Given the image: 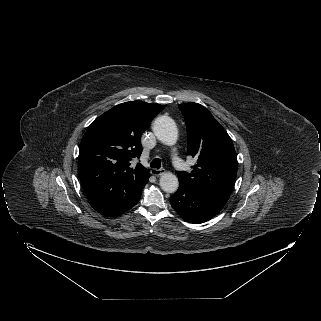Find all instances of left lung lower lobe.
Masks as SVG:
<instances>
[{
    "label": "left lung lower lobe",
    "mask_w": 321,
    "mask_h": 321,
    "mask_svg": "<svg viewBox=\"0 0 321 321\" xmlns=\"http://www.w3.org/2000/svg\"><path fill=\"white\" fill-rule=\"evenodd\" d=\"M230 194L179 183L177 192L170 197V203L185 221L200 224L217 215Z\"/></svg>",
    "instance_id": "obj_1"
}]
</instances>
